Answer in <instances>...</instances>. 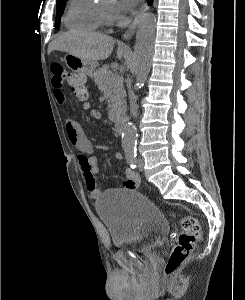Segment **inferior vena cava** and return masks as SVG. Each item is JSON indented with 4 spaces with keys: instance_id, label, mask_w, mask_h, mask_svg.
<instances>
[{
    "instance_id": "1",
    "label": "inferior vena cava",
    "mask_w": 245,
    "mask_h": 300,
    "mask_svg": "<svg viewBox=\"0 0 245 300\" xmlns=\"http://www.w3.org/2000/svg\"><path fill=\"white\" fill-rule=\"evenodd\" d=\"M129 100H130V111L131 114L136 117L137 116V104H136V96L134 95L132 90H129Z\"/></svg>"
}]
</instances>
